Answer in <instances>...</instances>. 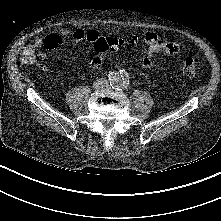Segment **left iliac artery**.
Returning a JSON list of instances; mask_svg holds the SVG:
<instances>
[{
    "label": "left iliac artery",
    "instance_id": "left-iliac-artery-1",
    "mask_svg": "<svg viewBox=\"0 0 221 221\" xmlns=\"http://www.w3.org/2000/svg\"><path fill=\"white\" fill-rule=\"evenodd\" d=\"M127 87H128V82L127 81H123L121 83V87L120 88L127 89Z\"/></svg>",
    "mask_w": 221,
    "mask_h": 221
}]
</instances>
